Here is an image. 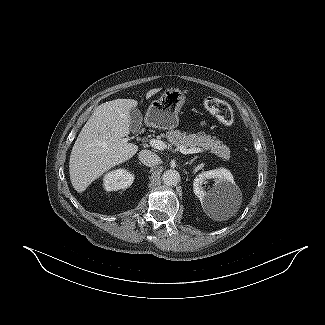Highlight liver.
I'll list each match as a JSON object with an SVG mask.
<instances>
[{"label": "liver", "instance_id": "obj_1", "mask_svg": "<svg viewBox=\"0 0 325 325\" xmlns=\"http://www.w3.org/2000/svg\"><path fill=\"white\" fill-rule=\"evenodd\" d=\"M159 91L149 90L146 99ZM137 104L133 99H116L94 109L70 155V180L77 192L85 191L103 173L137 153L138 146L125 138L130 132V110Z\"/></svg>", "mask_w": 325, "mask_h": 325}]
</instances>
